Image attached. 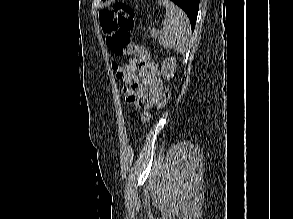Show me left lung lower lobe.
<instances>
[{
	"mask_svg": "<svg viewBox=\"0 0 293 219\" xmlns=\"http://www.w3.org/2000/svg\"><path fill=\"white\" fill-rule=\"evenodd\" d=\"M182 8L190 19L192 31L195 28L200 0H171Z\"/></svg>",
	"mask_w": 293,
	"mask_h": 219,
	"instance_id": "left-lung-lower-lobe-1",
	"label": "left lung lower lobe"
}]
</instances>
